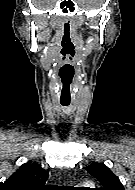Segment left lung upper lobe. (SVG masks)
I'll return each mask as SVG.
<instances>
[{
    "mask_svg": "<svg viewBox=\"0 0 135 190\" xmlns=\"http://www.w3.org/2000/svg\"><path fill=\"white\" fill-rule=\"evenodd\" d=\"M86 170L104 186L100 190H125L119 178L104 164L93 163Z\"/></svg>",
    "mask_w": 135,
    "mask_h": 190,
    "instance_id": "left-lung-upper-lobe-1",
    "label": "left lung upper lobe"
}]
</instances>
